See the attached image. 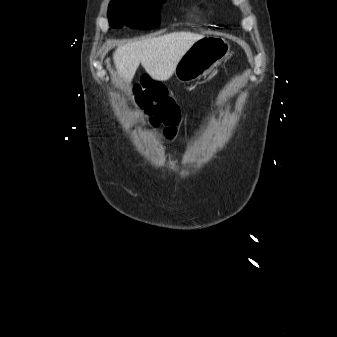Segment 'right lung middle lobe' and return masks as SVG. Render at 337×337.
I'll use <instances>...</instances> for the list:
<instances>
[{
  "label": "right lung middle lobe",
  "instance_id": "dd1d6c3e",
  "mask_svg": "<svg viewBox=\"0 0 337 337\" xmlns=\"http://www.w3.org/2000/svg\"><path fill=\"white\" fill-rule=\"evenodd\" d=\"M164 1L112 0L108 10L109 24L113 28L153 29L160 24L159 10Z\"/></svg>",
  "mask_w": 337,
  "mask_h": 337
}]
</instances>
